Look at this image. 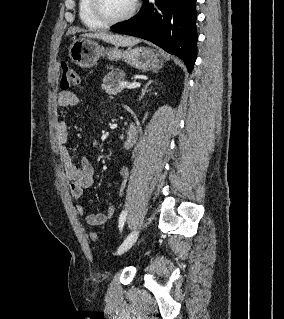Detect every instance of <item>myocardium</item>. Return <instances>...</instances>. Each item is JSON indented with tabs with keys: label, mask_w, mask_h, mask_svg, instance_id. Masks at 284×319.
<instances>
[{
	"label": "myocardium",
	"mask_w": 284,
	"mask_h": 319,
	"mask_svg": "<svg viewBox=\"0 0 284 319\" xmlns=\"http://www.w3.org/2000/svg\"><path fill=\"white\" fill-rule=\"evenodd\" d=\"M138 0H132L130 8L123 15L111 18L107 16L102 8L101 0H90V7L93 15L105 25H114L129 20L136 12Z\"/></svg>",
	"instance_id": "myocardium-1"
}]
</instances>
